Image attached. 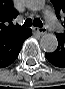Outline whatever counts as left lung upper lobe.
<instances>
[{
  "label": "left lung upper lobe",
  "instance_id": "5c2ea615",
  "mask_svg": "<svg viewBox=\"0 0 65 89\" xmlns=\"http://www.w3.org/2000/svg\"><path fill=\"white\" fill-rule=\"evenodd\" d=\"M51 2L54 5L57 18L61 19V15L64 16V28H65V0H51Z\"/></svg>",
  "mask_w": 65,
  "mask_h": 89
}]
</instances>
